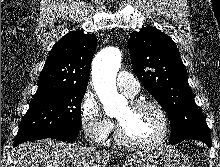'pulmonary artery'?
Returning <instances> with one entry per match:
<instances>
[{
	"mask_svg": "<svg viewBox=\"0 0 220 167\" xmlns=\"http://www.w3.org/2000/svg\"><path fill=\"white\" fill-rule=\"evenodd\" d=\"M116 82L119 89L128 97H134L139 92L137 79L127 71L118 72Z\"/></svg>",
	"mask_w": 220,
	"mask_h": 167,
	"instance_id": "obj_1",
	"label": "pulmonary artery"
}]
</instances>
